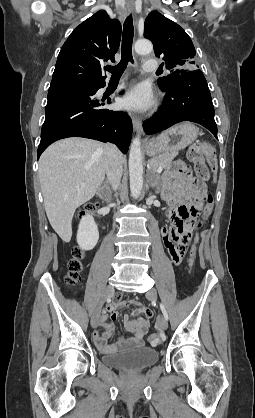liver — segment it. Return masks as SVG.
<instances>
[{"label": "liver", "mask_w": 255, "mask_h": 418, "mask_svg": "<svg viewBox=\"0 0 255 418\" xmlns=\"http://www.w3.org/2000/svg\"><path fill=\"white\" fill-rule=\"evenodd\" d=\"M106 145L73 137L50 145L39 160V179L48 220L66 243L75 210L94 197L105 177ZM122 162L124 157L121 154Z\"/></svg>", "instance_id": "liver-1"}]
</instances>
